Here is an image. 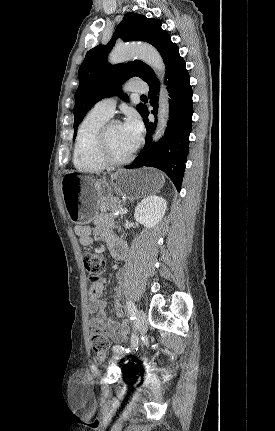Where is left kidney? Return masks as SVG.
<instances>
[{
	"mask_svg": "<svg viewBox=\"0 0 275 431\" xmlns=\"http://www.w3.org/2000/svg\"><path fill=\"white\" fill-rule=\"evenodd\" d=\"M167 209V202L159 196L144 198L135 208L134 218L146 228L155 227L163 218Z\"/></svg>",
	"mask_w": 275,
	"mask_h": 431,
	"instance_id": "obj_1",
	"label": "left kidney"
}]
</instances>
